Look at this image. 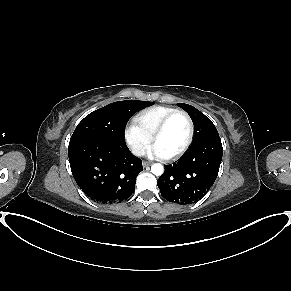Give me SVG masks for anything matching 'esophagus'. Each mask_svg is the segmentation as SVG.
<instances>
[{"label": "esophagus", "instance_id": "34e87169", "mask_svg": "<svg viewBox=\"0 0 291 291\" xmlns=\"http://www.w3.org/2000/svg\"><path fill=\"white\" fill-rule=\"evenodd\" d=\"M143 167H148L151 165V162H148V161H143Z\"/></svg>", "mask_w": 291, "mask_h": 291}]
</instances>
